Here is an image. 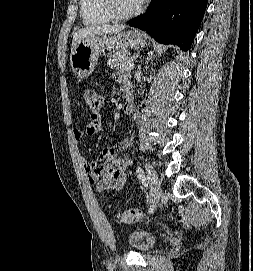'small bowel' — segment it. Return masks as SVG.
Instances as JSON below:
<instances>
[{"label": "small bowel", "instance_id": "1", "mask_svg": "<svg viewBox=\"0 0 253 271\" xmlns=\"http://www.w3.org/2000/svg\"><path fill=\"white\" fill-rule=\"evenodd\" d=\"M126 91H131L128 83L124 84ZM102 129V119L100 115L91 117L85 132L79 129L71 128V135L74 140L79 141L86 136H94ZM131 146L130 139H124L119 143L105 147L102 149L98 160L94 163H86L85 158L81 156V160L85 163L89 180L96 185L99 192H105L110 189L121 190L126 182V173L131 165V159L127 157H119V154L127 150Z\"/></svg>", "mask_w": 253, "mask_h": 271}]
</instances>
